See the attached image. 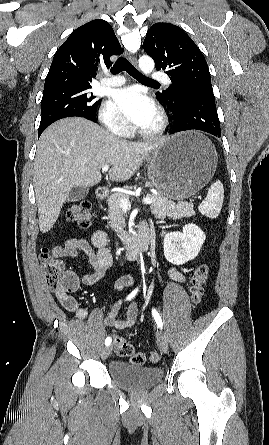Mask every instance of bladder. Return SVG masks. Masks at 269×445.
<instances>
[{"mask_svg":"<svg viewBox=\"0 0 269 445\" xmlns=\"http://www.w3.org/2000/svg\"><path fill=\"white\" fill-rule=\"evenodd\" d=\"M108 370L116 385L131 391L149 389L162 378V370L159 367H140L121 360L112 361Z\"/></svg>","mask_w":269,"mask_h":445,"instance_id":"bladder-1","label":"bladder"}]
</instances>
